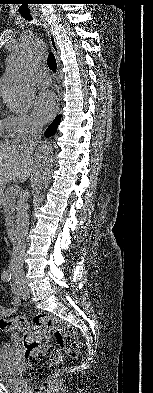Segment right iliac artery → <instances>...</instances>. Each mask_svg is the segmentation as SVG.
Listing matches in <instances>:
<instances>
[{
  "label": "right iliac artery",
  "instance_id": "right-iliac-artery-1",
  "mask_svg": "<svg viewBox=\"0 0 153 393\" xmlns=\"http://www.w3.org/2000/svg\"><path fill=\"white\" fill-rule=\"evenodd\" d=\"M11 278H12V274H11V272L8 271V270L3 271V273L1 274V279H2L4 282H9V281L11 280Z\"/></svg>",
  "mask_w": 153,
  "mask_h": 393
}]
</instances>
